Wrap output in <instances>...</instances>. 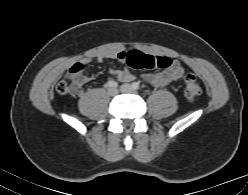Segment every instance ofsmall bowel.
<instances>
[{
	"label": "small bowel",
	"mask_w": 248,
	"mask_h": 195,
	"mask_svg": "<svg viewBox=\"0 0 248 195\" xmlns=\"http://www.w3.org/2000/svg\"><path fill=\"white\" fill-rule=\"evenodd\" d=\"M125 52H118L111 56L105 55H97V56H89L83 58L80 62L74 64L69 69L68 73L73 72L77 67L84 69V67L90 64L93 61H103L106 59H116L120 62H125L124 59H121L119 56H123ZM184 68L181 63L177 60H173L170 67L166 68L165 70L158 71V72H147L142 75L143 79L156 86V87H164L171 85L172 83L178 81L180 78L184 76ZM119 77L124 82H131L134 80L135 76L131 72L128 67H123L122 71L119 73ZM91 79L90 76L83 75V82H87Z\"/></svg>",
	"instance_id": "small-bowel-1"
}]
</instances>
